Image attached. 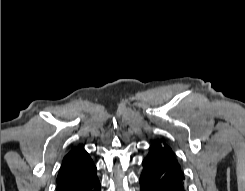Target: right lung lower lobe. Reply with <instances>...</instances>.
<instances>
[{
	"label": "right lung lower lobe",
	"instance_id": "1",
	"mask_svg": "<svg viewBox=\"0 0 245 191\" xmlns=\"http://www.w3.org/2000/svg\"><path fill=\"white\" fill-rule=\"evenodd\" d=\"M56 191H100V182L93 165L88 170L57 183Z\"/></svg>",
	"mask_w": 245,
	"mask_h": 191
}]
</instances>
